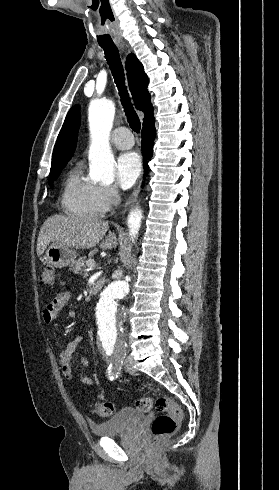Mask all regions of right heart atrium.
I'll return each instance as SVG.
<instances>
[{
    "mask_svg": "<svg viewBox=\"0 0 279 490\" xmlns=\"http://www.w3.org/2000/svg\"><path fill=\"white\" fill-rule=\"evenodd\" d=\"M118 198L119 192L115 186H95L93 201L97 215H106L117 202Z\"/></svg>",
    "mask_w": 279,
    "mask_h": 490,
    "instance_id": "obj_1",
    "label": "right heart atrium"
}]
</instances>
